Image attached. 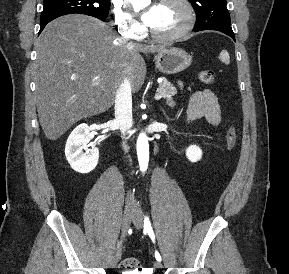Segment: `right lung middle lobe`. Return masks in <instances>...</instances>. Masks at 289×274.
<instances>
[{
    "label": "right lung middle lobe",
    "instance_id": "dd1d6c3e",
    "mask_svg": "<svg viewBox=\"0 0 289 274\" xmlns=\"http://www.w3.org/2000/svg\"><path fill=\"white\" fill-rule=\"evenodd\" d=\"M110 0H44L41 18L62 14H85L105 20Z\"/></svg>",
    "mask_w": 289,
    "mask_h": 274
}]
</instances>
